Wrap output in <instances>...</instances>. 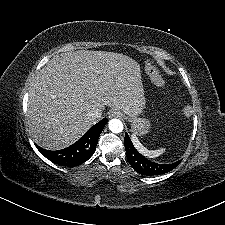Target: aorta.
Returning <instances> with one entry per match:
<instances>
[{"label": "aorta", "mask_w": 225, "mask_h": 225, "mask_svg": "<svg viewBox=\"0 0 225 225\" xmlns=\"http://www.w3.org/2000/svg\"><path fill=\"white\" fill-rule=\"evenodd\" d=\"M109 130L113 133H120L123 131V123L119 119H111L108 123Z\"/></svg>", "instance_id": "762f6f07"}]
</instances>
